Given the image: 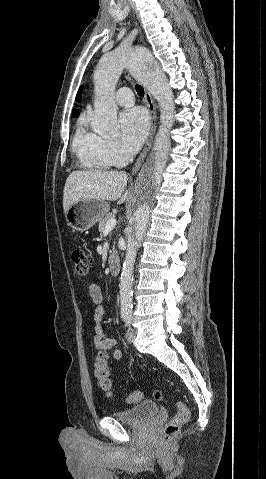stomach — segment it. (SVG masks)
<instances>
[{"instance_id": "0dacf381", "label": "stomach", "mask_w": 266, "mask_h": 479, "mask_svg": "<svg viewBox=\"0 0 266 479\" xmlns=\"http://www.w3.org/2000/svg\"><path fill=\"white\" fill-rule=\"evenodd\" d=\"M109 211V204L103 200L82 199L66 212L67 225L73 230L84 232L100 221Z\"/></svg>"}]
</instances>
